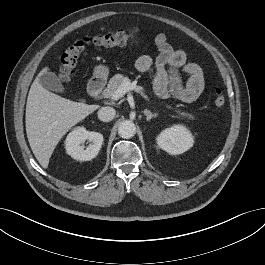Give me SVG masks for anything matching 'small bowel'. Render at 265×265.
<instances>
[{
    "label": "small bowel",
    "mask_w": 265,
    "mask_h": 265,
    "mask_svg": "<svg viewBox=\"0 0 265 265\" xmlns=\"http://www.w3.org/2000/svg\"><path fill=\"white\" fill-rule=\"evenodd\" d=\"M159 54L156 59L149 55H141L135 61V67L140 72L154 71V89L160 98L174 97L182 102L196 100L204 88V74L199 65L187 60V54L182 49H174L163 33L155 37ZM137 46L138 42L134 41ZM179 70L188 75L184 84Z\"/></svg>",
    "instance_id": "1"
}]
</instances>
